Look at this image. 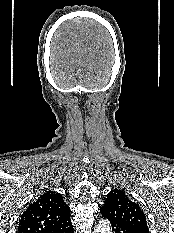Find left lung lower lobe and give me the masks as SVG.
<instances>
[{"label":"left lung lower lobe","mask_w":174,"mask_h":233,"mask_svg":"<svg viewBox=\"0 0 174 233\" xmlns=\"http://www.w3.org/2000/svg\"><path fill=\"white\" fill-rule=\"evenodd\" d=\"M102 217L109 220L111 227H112V233H148V231L134 227L132 225L110 220L108 217L104 216L103 214H102Z\"/></svg>","instance_id":"left-lung-lower-lobe-1"}]
</instances>
